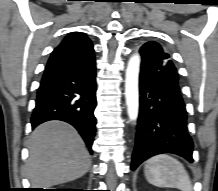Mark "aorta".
I'll return each mask as SVG.
<instances>
[{
    "instance_id": "aorta-1",
    "label": "aorta",
    "mask_w": 218,
    "mask_h": 191,
    "mask_svg": "<svg viewBox=\"0 0 218 191\" xmlns=\"http://www.w3.org/2000/svg\"><path fill=\"white\" fill-rule=\"evenodd\" d=\"M141 58L134 54L129 59L125 75V100L128 117L136 121L139 112V71Z\"/></svg>"
}]
</instances>
